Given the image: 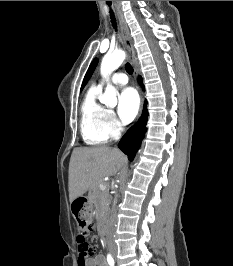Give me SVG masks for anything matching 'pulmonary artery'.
Listing matches in <instances>:
<instances>
[{
  "label": "pulmonary artery",
  "mask_w": 233,
  "mask_h": 266,
  "mask_svg": "<svg viewBox=\"0 0 233 266\" xmlns=\"http://www.w3.org/2000/svg\"><path fill=\"white\" fill-rule=\"evenodd\" d=\"M111 81L112 83L117 85H125L128 83V77L125 73L118 72L113 74V76L111 77ZM98 86L101 87V85Z\"/></svg>",
  "instance_id": "obj_1"
}]
</instances>
